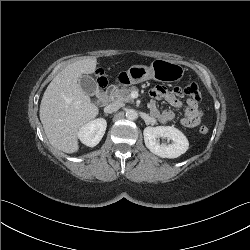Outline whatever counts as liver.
<instances>
[{
    "label": "liver",
    "mask_w": 250,
    "mask_h": 250,
    "mask_svg": "<svg viewBox=\"0 0 250 250\" xmlns=\"http://www.w3.org/2000/svg\"><path fill=\"white\" fill-rule=\"evenodd\" d=\"M97 59L87 57L67 65L44 92L40 104V120L50 144L65 153L79 149L81 126L94 119L99 109L81 86L84 74L95 72Z\"/></svg>",
    "instance_id": "liver-1"
}]
</instances>
